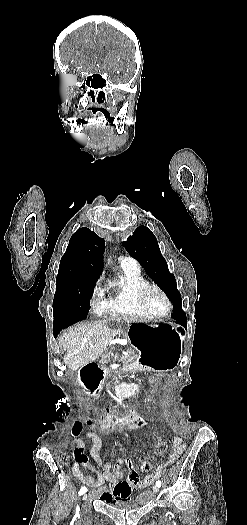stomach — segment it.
Returning a JSON list of instances; mask_svg holds the SVG:
<instances>
[{
  "mask_svg": "<svg viewBox=\"0 0 247 525\" xmlns=\"http://www.w3.org/2000/svg\"><path fill=\"white\" fill-rule=\"evenodd\" d=\"M127 336L140 350L138 361L142 369L163 372L178 366L185 342V332L180 326L133 323Z\"/></svg>",
  "mask_w": 247,
  "mask_h": 525,
  "instance_id": "0dacf381",
  "label": "stomach"
}]
</instances>
